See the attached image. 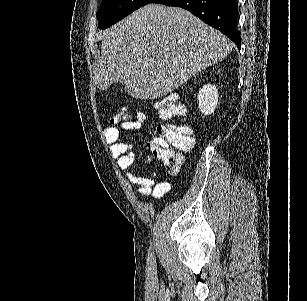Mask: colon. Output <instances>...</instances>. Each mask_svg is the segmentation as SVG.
Masks as SVG:
<instances>
[{
	"instance_id": "5ec220e1",
	"label": "colon",
	"mask_w": 307,
	"mask_h": 301,
	"mask_svg": "<svg viewBox=\"0 0 307 301\" xmlns=\"http://www.w3.org/2000/svg\"><path fill=\"white\" fill-rule=\"evenodd\" d=\"M156 111L163 120L181 119L186 114V109L181 99L176 94H168L157 101ZM145 119L143 113L128 116L120 111L110 120L111 124L126 122L130 124H141ZM194 139L189 126L168 123L157 127V136L147 142V146L155 158L160 160L165 168L171 172H178L182 155L179 151H186L193 147Z\"/></svg>"
}]
</instances>
